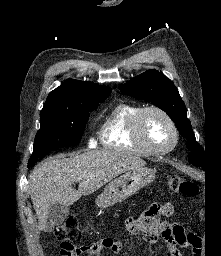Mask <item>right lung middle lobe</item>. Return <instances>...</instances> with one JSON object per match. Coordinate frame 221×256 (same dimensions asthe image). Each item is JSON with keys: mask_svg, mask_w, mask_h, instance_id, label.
Masks as SVG:
<instances>
[{"mask_svg": "<svg viewBox=\"0 0 221 256\" xmlns=\"http://www.w3.org/2000/svg\"><path fill=\"white\" fill-rule=\"evenodd\" d=\"M107 96H96L79 102L73 110L41 112V128L36 134L28 167L33 166L38 158L47 155L51 150L77 145L84 133L89 112L96 109L99 102H103Z\"/></svg>", "mask_w": 221, "mask_h": 256, "instance_id": "right-lung-middle-lobe-1", "label": "right lung middle lobe"}]
</instances>
